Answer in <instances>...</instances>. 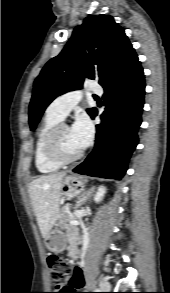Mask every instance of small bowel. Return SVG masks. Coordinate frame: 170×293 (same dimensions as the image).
Listing matches in <instances>:
<instances>
[{"label":"small bowel","instance_id":"small-bowel-1","mask_svg":"<svg viewBox=\"0 0 170 293\" xmlns=\"http://www.w3.org/2000/svg\"><path fill=\"white\" fill-rule=\"evenodd\" d=\"M78 237V232L74 229L68 232V239L71 243H74ZM86 281L84 276V269L82 266H77L74 270V276L70 281V285L74 288L85 287Z\"/></svg>","mask_w":170,"mask_h":293}]
</instances>
